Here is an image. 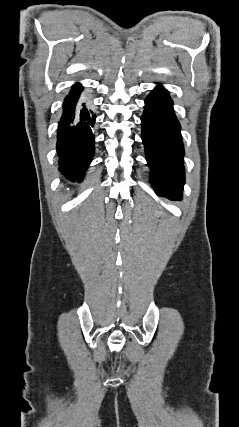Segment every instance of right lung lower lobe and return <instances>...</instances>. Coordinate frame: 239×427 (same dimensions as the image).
I'll return each instance as SVG.
<instances>
[{"instance_id":"right-lung-lower-lobe-1","label":"right lung lower lobe","mask_w":239,"mask_h":427,"mask_svg":"<svg viewBox=\"0 0 239 427\" xmlns=\"http://www.w3.org/2000/svg\"><path fill=\"white\" fill-rule=\"evenodd\" d=\"M82 90V86L76 84L66 96L57 133L60 169L72 182L82 181L95 150L93 127L96 116L88 108V103L80 100Z\"/></svg>"}]
</instances>
